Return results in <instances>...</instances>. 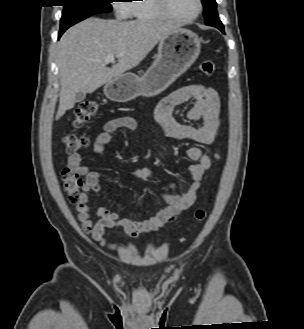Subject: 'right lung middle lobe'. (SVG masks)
Segmentation results:
<instances>
[{
  "label": "right lung middle lobe",
  "mask_w": 304,
  "mask_h": 329,
  "mask_svg": "<svg viewBox=\"0 0 304 329\" xmlns=\"http://www.w3.org/2000/svg\"><path fill=\"white\" fill-rule=\"evenodd\" d=\"M63 12L60 30L98 13L111 12V0H63Z\"/></svg>",
  "instance_id": "dd1d6c3e"
}]
</instances>
